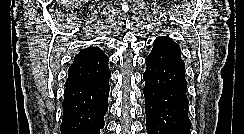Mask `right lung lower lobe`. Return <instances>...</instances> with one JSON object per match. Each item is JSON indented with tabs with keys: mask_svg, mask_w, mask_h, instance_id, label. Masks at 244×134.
Returning a JSON list of instances; mask_svg holds the SVG:
<instances>
[{
	"mask_svg": "<svg viewBox=\"0 0 244 134\" xmlns=\"http://www.w3.org/2000/svg\"><path fill=\"white\" fill-rule=\"evenodd\" d=\"M110 76L65 86L61 134H100L108 111Z\"/></svg>",
	"mask_w": 244,
	"mask_h": 134,
	"instance_id": "98d812e1",
	"label": "right lung lower lobe"
}]
</instances>
